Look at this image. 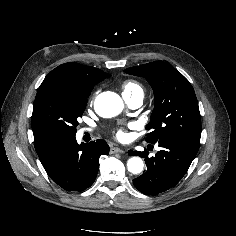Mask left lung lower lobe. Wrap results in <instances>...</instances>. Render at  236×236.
Instances as JSON below:
<instances>
[{"mask_svg":"<svg viewBox=\"0 0 236 236\" xmlns=\"http://www.w3.org/2000/svg\"><path fill=\"white\" fill-rule=\"evenodd\" d=\"M157 144L161 150L154 157L149 158L147 151H130L145 158L147 170L135 178L133 184L146 195H158L174 187L186 174L199 149V144L181 139L160 140Z\"/></svg>","mask_w":236,"mask_h":236,"instance_id":"1","label":"left lung lower lobe"}]
</instances>
